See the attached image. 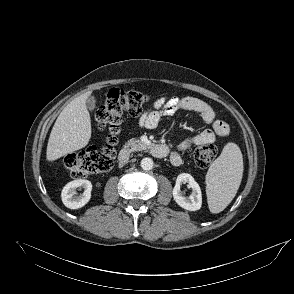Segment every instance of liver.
<instances>
[{"instance_id":"6515ba94","label":"liver","mask_w":294,"mask_h":294,"mask_svg":"<svg viewBox=\"0 0 294 294\" xmlns=\"http://www.w3.org/2000/svg\"><path fill=\"white\" fill-rule=\"evenodd\" d=\"M90 94L87 92L72 100L58 116L47 144L48 161H55L88 144L91 119L86 101Z\"/></svg>"}]
</instances>
